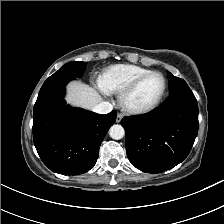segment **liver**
Listing matches in <instances>:
<instances>
[{
  "label": "liver",
  "mask_w": 224,
  "mask_h": 224,
  "mask_svg": "<svg viewBox=\"0 0 224 224\" xmlns=\"http://www.w3.org/2000/svg\"><path fill=\"white\" fill-rule=\"evenodd\" d=\"M67 102L85 109H93L102 102L99 92L93 87L79 82H71L67 87Z\"/></svg>",
  "instance_id": "6515ba94"
}]
</instances>
